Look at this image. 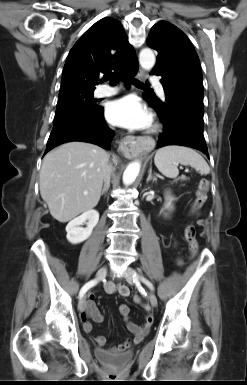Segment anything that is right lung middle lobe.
Masks as SVG:
<instances>
[{
	"label": "right lung middle lobe",
	"mask_w": 247,
	"mask_h": 385,
	"mask_svg": "<svg viewBox=\"0 0 247 385\" xmlns=\"http://www.w3.org/2000/svg\"><path fill=\"white\" fill-rule=\"evenodd\" d=\"M92 89H69L59 92L55 118L79 111L98 107Z\"/></svg>",
	"instance_id": "right-lung-middle-lobe-1"
}]
</instances>
